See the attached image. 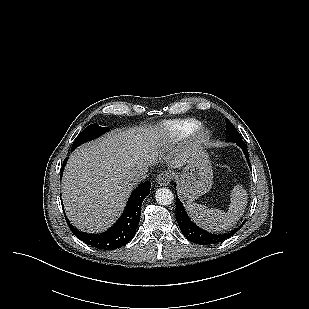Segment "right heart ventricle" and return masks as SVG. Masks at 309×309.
Wrapping results in <instances>:
<instances>
[{"instance_id": "obj_1", "label": "right heart ventricle", "mask_w": 309, "mask_h": 309, "mask_svg": "<svg viewBox=\"0 0 309 309\" xmlns=\"http://www.w3.org/2000/svg\"><path fill=\"white\" fill-rule=\"evenodd\" d=\"M200 127V122L195 119H184L166 122L162 125V133L175 140L192 135Z\"/></svg>"}]
</instances>
